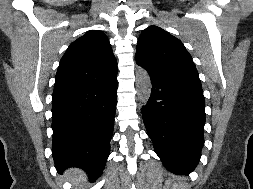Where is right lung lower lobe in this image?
Masks as SVG:
<instances>
[{
	"mask_svg": "<svg viewBox=\"0 0 253 189\" xmlns=\"http://www.w3.org/2000/svg\"><path fill=\"white\" fill-rule=\"evenodd\" d=\"M116 91L117 73L94 83L55 84L52 154L59 173L79 167L90 181L102 174L110 154Z\"/></svg>",
	"mask_w": 253,
	"mask_h": 189,
	"instance_id": "1",
	"label": "right lung lower lobe"
}]
</instances>
